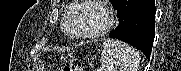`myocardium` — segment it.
Here are the masks:
<instances>
[{
    "mask_svg": "<svg viewBox=\"0 0 181 71\" xmlns=\"http://www.w3.org/2000/svg\"><path fill=\"white\" fill-rule=\"evenodd\" d=\"M78 4L76 11L73 14L71 23H70V30L72 32V37L79 40H93L104 36L108 33L115 23V16L112 9L106 4L104 1L99 0H84L80 2H76ZM97 6L101 9L105 16H106V23L105 25L96 32L84 34L78 31V22L79 16L81 11L87 6Z\"/></svg>",
    "mask_w": 181,
    "mask_h": 71,
    "instance_id": "obj_1",
    "label": "myocardium"
}]
</instances>
